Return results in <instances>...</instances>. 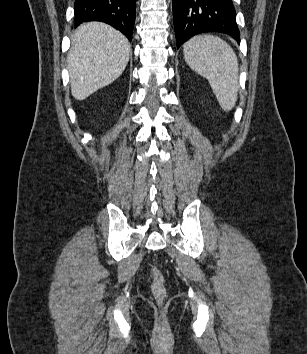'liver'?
<instances>
[{"mask_svg":"<svg viewBox=\"0 0 307 354\" xmlns=\"http://www.w3.org/2000/svg\"><path fill=\"white\" fill-rule=\"evenodd\" d=\"M130 52L128 39L113 27L102 22L81 24L71 37L67 57L72 96L84 100L115 81Z\"/></svg>","mask_w":307,"mask_h":354,"instance_id":"obj_1","label":"liver"}]
</instances>
